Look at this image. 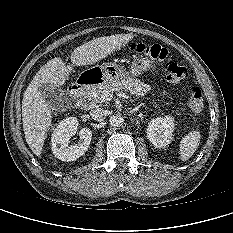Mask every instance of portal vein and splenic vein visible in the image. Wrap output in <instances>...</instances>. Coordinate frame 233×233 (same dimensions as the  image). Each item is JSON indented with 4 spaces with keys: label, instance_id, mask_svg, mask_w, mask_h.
Segmentation results:
<instances>
[{
    "label": "portal vein and splenic vein",
    "instance_id": "obj_1",
    "mask_svg": "<svg viewBox=\"0 0 233 233\" xmlns=\"http://www.w3.org/2000/svg\"><path fill=\"white\" fill-rule=\"evenodd\" d=\"M113 92H107L106 94H105V99L106 100H111L112 99V97H113Z\"/></svg>",
    "mask_w": 233,
    "mask_h": 233
}]
</instances>
